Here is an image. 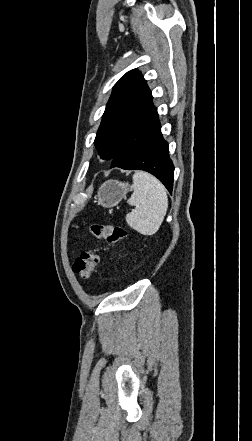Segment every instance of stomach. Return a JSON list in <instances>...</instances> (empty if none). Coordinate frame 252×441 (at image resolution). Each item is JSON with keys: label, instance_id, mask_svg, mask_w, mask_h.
Listing matches in <instances>:
<instances>
[{"label": "stomach", "instance_id": "1", "mask_svg": "<svg viewBox=\"0 0 252 441\" xmlns=\"http://www.w3.org/2000/svg\"><path fill=\"white\" fill-rule=\"evenodd\" d=\"M132 187L128 183L117 180H108L101 185L96 197L98 204L104 207H113L117 205Z\"/></svg>", "mask_w": 252, "mask_h": 441}]
</instances>
